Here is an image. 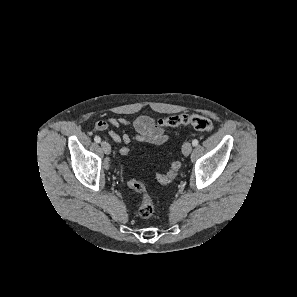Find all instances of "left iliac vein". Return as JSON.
<instances>
[{"mask_svg": "<svg viewBox=\"0 0 297 297\" xmlns=\"http://www.w3.org/2000/svg\"><path fill=\"white\" fill-rule=\"evenodd\" d=\"M192 151V145L190 142H185L182 146V153L184 156H188Z\"/></svg>", "mask_w": 297, "mask_h": 297, "instance_id": "4c4485c4", "label": "left iliac vein"}]
</instances>
